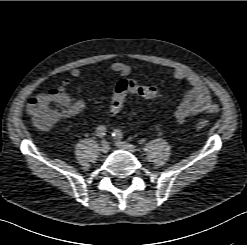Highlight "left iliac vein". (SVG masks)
Here are the masks:
<instances>
[{
	"label": "left iliac vein",
	"instance_id": "1",
	"mask_svg": "<svg viewBox=\"0 0 247 245\" xmlns=\"http://www.w3.org/2000/svg\"><path fill=\"white\" fill-rule=\"evenodd\" d=\"M116 145L119 148L124 149V150L129 151V152H135L136 151L135 146H133V145H131L125 141L116 140Z\"/></svg>",
	"mask_w": 247,
	"mask_h": 245
}]
</instances>
